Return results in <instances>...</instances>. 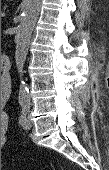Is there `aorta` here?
I'll list each match as a JSON object with an SVG mask.
<instances>
[{
  "label": "aorta",
  "instance_id": "1",
  "mask_svg": "<svg viewBox=\"0 0 109 170\" xmlns=\"http://www.w3.org/2000/svg\"><path fill=\"white\" fill-rule=\"evenodd\" d=\"M42 0H24V8L16 38L15 63L20 79L24 75V63L29 49L30 39L38 18ZM19 103H30V96L22 80L18 95Z\"/></svg>",
  "mask_w": 109,
  "mask_h": 170
}]
</instances>
